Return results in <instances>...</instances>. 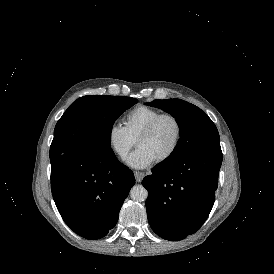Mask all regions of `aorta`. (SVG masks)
<instances>
[{"label": "aorta", "instance_id": "aorta-1", "mask_svg": "<svg viewBox=\"0 0 274 274\" xmlns=\"http://www.w3.org/2000/svg\"><path fill=\"white\" fill-rule=\"evenodd\" d=\"M130 197L134 201L141 202L147 199L148 191L142 185H135L130 190Z\"/></svg>", "mask_w": 274, "mask_h": 274}]
</instances>
